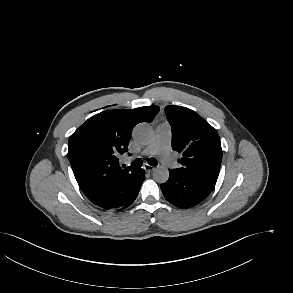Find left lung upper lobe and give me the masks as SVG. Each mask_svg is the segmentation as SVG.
Listing matches in <instances>:
<instances>
[{
  "label": "left lung upper lobe",
  "instance_id": "5c2ea615",
  "mask_svg": "<svg viewBox=\"0 0 293 293\" xmlns=\"http://www.w3.org/2000/svg\"><path fill=\"white\" fill-rule=\"evenodd\" d=\"M165 113L172 128V149L183 154L178 160L182 167L175 170L216 183L222 161L217 131L191 109L168 105Z\"/></svg>",
  "mask_w": 293,
  "mask_h": 293
}]
</instances>
